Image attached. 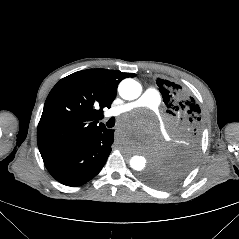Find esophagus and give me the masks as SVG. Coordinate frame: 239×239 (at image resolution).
<instances>
[{"label":"esophagus","instance_id":"obj_1","mask_svg":"<svg viewBox=\"0 0 239 239\" xmlns=\"http://www.w3.org/2000/svg\"><path fill=\"white\" fill-rule=\"evenodd\" d=\"M112 137H113V139H115V140H119V139H121L122 134H121V132H119V131H115V132H113Z\"/></svg>","mask_w":239,"mask_h":239}]
</instances>
